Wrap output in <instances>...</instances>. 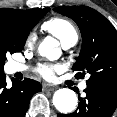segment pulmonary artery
<instances>
[{"label": "pulmonary artery", "instance_id": "1", "mask_svg": "<svg viewBox=\"0 0 117 117\" xmlns=\"http://www.w3.org/2000/svg\"><path fill=\"white\" fill-rule=\"evenodd\" d=\"M76 42H77V40L73 39L69 42L62 44V45H63V48L69 49V48L73 47L76 44ZM11 70H12L13 73L22 72L24 70V67L22 65L18 64V63H12L11 64ZM86 87H87L86 81L81 82L80 85H79V88L81 90H84Z\"/></svg>", "mask_w": 117, "mask_h": 117}]
</instances>
